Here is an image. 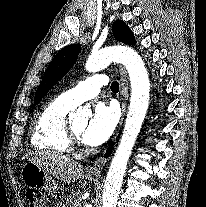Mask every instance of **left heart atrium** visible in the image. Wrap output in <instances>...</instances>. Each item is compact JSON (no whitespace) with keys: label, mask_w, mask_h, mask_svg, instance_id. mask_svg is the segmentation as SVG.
Instances as JSON below:
<instances>
[{"label":"left heart atrium","mask_w":206,"mask_h":207,"mask_svg":"<svg viewBox=\"0 0 206 207\" xmlns=\"http://www.w3.org/2000/svg\"><path fill=\"white\" fill-rule=\"evenodd\" d=\"M118 119L119 112L114 105L98 103L82 134L83 141L94 146L104 143L113 133Z\"/></svg>","instance_id":"obj_1"}]
</instances>
